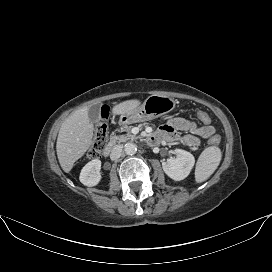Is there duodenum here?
<instances>
[{
  "instance_id": "410a0bca",
  "label": "duodenum",
  "mask_w": 272,
  "mask_h": 272,
  "mask_svg": "<svg viewBox=\"0 0 272 272\" xmlns=\"http://www.w3.org/2000/svg\"><path fill=\"white\" fill-rule=\"evenodd\" d=\"M113 146H114V142L113 141H111L108 145H107V147L105 148V150H104V156H109V154H110V152L112 151V149H113Z\"/></svg>"
}]
</instances>
